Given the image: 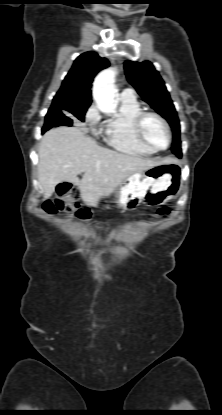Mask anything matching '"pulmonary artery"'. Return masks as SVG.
Returning a JSON list of instances; mask_svg holds the SVG:
<instances>
[{"label":"pulmonary artery","instance_id":"e3ab8cb5","mask_svg":"<svg viewBox=\"0 0 222 415\" xmlns=\"http://www.w3.org/2000/svg\"><path fill=\"white\" fill-rule=\"evenodd\" d=\"M120 96L128 99L135 98L134 91L131 88H125Z\"/></svg>","mask_w":222,"mask_h":415}]
</instances>
